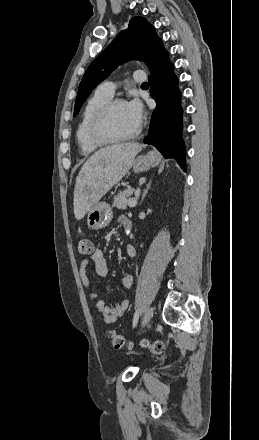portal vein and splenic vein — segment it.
Here are the masks:
<instances>
[{
	"label": "portal vein and splenic vein",
	"mask_w": 259,
	"mask_h": 440,
	"mask_svg": "<svg viewBox=\"0 0 259 440\" xmlns=\"http://www.w3.org/2000/svg\"><path fill=\"white\" fill-rule=\"evenodd\" d=\"M139 196V193H136V197ZM137 205V199H132L129 201L128 206L133 208Z\"/></svg>",
	"instance_id": "18ae733b"
}]
</instances>
